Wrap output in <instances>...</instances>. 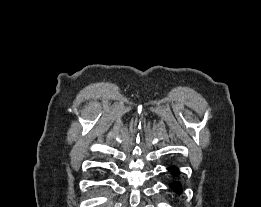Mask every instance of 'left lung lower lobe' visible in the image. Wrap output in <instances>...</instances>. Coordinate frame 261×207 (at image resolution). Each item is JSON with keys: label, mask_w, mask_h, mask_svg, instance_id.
Wrapping results in <instances>:
<instances>
[{"label": "left lung lower lobe", "mask_w": 261, "mask_h": 207, "mask_svg": "<svg viewBox=\"0 0 261 207\" xmlns=\"http://www.w3.org/2000/svg\"><path fill=\"white\" fill-rule=\"evenodd\" d=\"M168 170H170V173L172 175L173 179H176L177 175L179 174L178 169L175 166H171L168 168ZM169 187L177 192V193H181V185L180 182L178 180H174L171 184H169Z\"/></svg>", "instance_id": "1"}]
</instances>
